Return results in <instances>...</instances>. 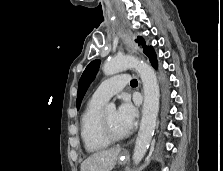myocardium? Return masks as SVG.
Returning a JSON list of instances; mask_svg holds the SVG:
<instances>
[{"mask_svg":"<svg viewBox=\"0 0 223 171\" xmlns=\"http://www.w3.org/2000/svg\"><path fill=\"white\" fill-rule=\"evenodd\" d=\"M99 127H100V132L102 136L104 137V139L110 143L123 140L127 136L126 134L120 135V136L114 135L108 127L104 113H101V116L99 119Z\"/></svg>","mask_w":223,"mask_h":171,"instance_id":"f54148a6","label":"myocardium"}]
</instances>
